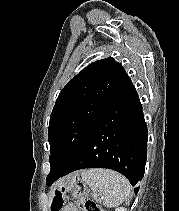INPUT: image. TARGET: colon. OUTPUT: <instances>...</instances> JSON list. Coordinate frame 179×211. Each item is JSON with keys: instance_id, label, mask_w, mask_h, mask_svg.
Returning a JSON list of instances; mask_svg holds the SVG:
<instances>
[{"instance_id": "1", "label": "colon", "mask_w": 179, "mask_h": 211, "mask_svg": "<svg viewBox=\"0 0 179 211\" xmlns=\"http://www.w3.org/2000/svg\"><path fill=\"white\" fill-rule=\"evenodd\" d=\"M65 192L64 188L57 191L53 200L54 211L61 208ZM68 192L75 199V205L79 211H104L93 200L84 197L85 185L79 178L72 179Z\"/></svg>"}]
</instances>
